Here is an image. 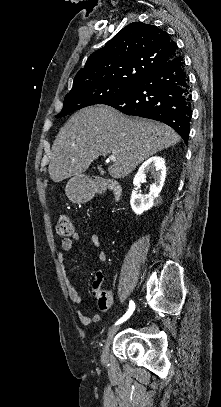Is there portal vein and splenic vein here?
<instances>
[{
    "instance_id": "obj_1",
    "label": "portal vein and splenic vein",
    "mask_w": 221,
    "mask_h": 407,
    "mask_svg": "<svg viewBox=\"0 0 221 407\" xmlns=\"http://www.w3.org/2000/svg\"><path fill=\"white\" fill-rule=\"evenodd\" d=\"M110 161L115 162L116 161V157L114 155H110L109 156Z\"/></svg>"
}]
</instances>
